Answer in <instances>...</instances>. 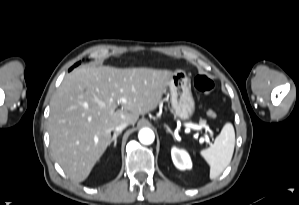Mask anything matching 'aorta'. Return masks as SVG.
Instances as JSON below:
<instances>
[{
    "label": "aorta",
    "instance_id": "obj_1",
    "mask_svg": "<svg viewBox=\"0 0 299 205\" xmlns=\"http://www.w3.org/2000/svg\"><path fill=\"white\" fill-rule=\"evenodd\" d=\"M138 138L142 144L149 145L154 142L155 135L151 129L143 128L139 131Z\"/></svg>",
    "mask_w": 299,
    "mask_h": 205
}]
</instances>
